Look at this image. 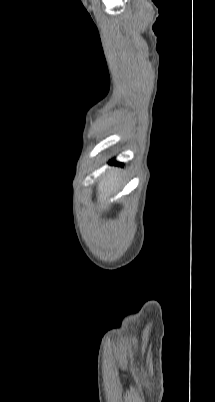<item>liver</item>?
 <instances>
[{"mask_svg":"<svg viewBox=\"0 0 215 402\" xmlns=\"http://www.w3.org/2000/svg\"><path fill=\"white\" fill-rule=\"evenodd\" d=\"M120 188L119 170L113 169L98 182L97 200L101 209H108L107 200Z\"/></svg>","mask_w":215,"mask_h":402,"instance_id":"liver-1","label":"liver"}]
</instances>
